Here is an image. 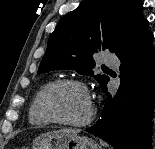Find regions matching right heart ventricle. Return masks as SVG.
Returning <instances> with one entry per match:
<instances>
[{
	"mask_svg": "<svg viewBox=\"0 0 155 149\" xmlns=\"http://www.w3.org/2000/svg\"><path fill=\"white\" fill-rule=\"evenodd\" d=\"M47 84L43 85L35 94L33 100L30 103L28 110V119L29 122L34 126H47L52 123L41 111L40 109V97L44 87Z\"/></svg>",
	"mask_w": 155,
	"mask_h": 149,
	"instance_id": "right-heart-ventricle-1",
	"label": "right heart ventricle"
}]
</instances>
